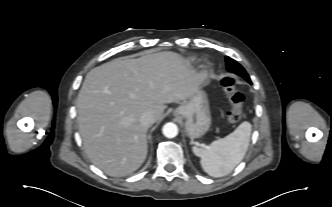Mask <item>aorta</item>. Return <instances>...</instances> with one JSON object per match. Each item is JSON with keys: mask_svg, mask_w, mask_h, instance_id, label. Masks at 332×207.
<instances>
[{"mask_svg": "<svg viewBox=\"0 0 332 207\" xmlns=\"http://www.w3.org/2000/svg\"><path fill=\"white\" fill-rule=\"evenodd\" d=\"M163 135L167 138H174L178 134V127L176 124L169 122L163 126Z\"/></svg>", "mask_w": 332, "mask_h": 207, "instance_id": "1", "label": "aorta"}]
</instances>
